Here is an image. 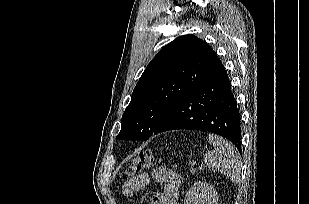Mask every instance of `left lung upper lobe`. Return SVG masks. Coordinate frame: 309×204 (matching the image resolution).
I'll return each instance as SVG.
<instances>
[{
  "instance_id": "5c2ea615",
  "label": "left lung upper lobe",
  "mask_w": 309,
  "mask_h": 204,
  "mask_svg": "<svg viewBox=\"0 0 309 204\" xmlns=\"http://www.w3.org/2000/svg\"><path fill=\"white\" fill-rule=\"evenodd\" d=\"M222 66L213 49L194 35L180 36L164 46L135 86L117 139H148L179 101Z\"/></svg>"
}]
</instances>
